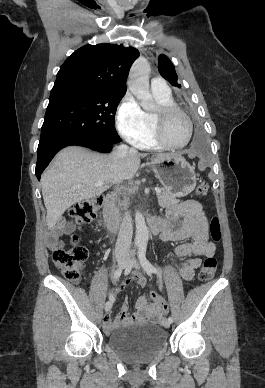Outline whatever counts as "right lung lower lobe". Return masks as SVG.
<instances>
[{
	"instance_id": "obj_1",
	"label": "right lung lower lobe",
	"mask_w": 265,
	"mask_h": 388,
	"mask_svg": "<svg viewBox=\"0 0 265 388\" xmlns=\"http://www.w3.org/2000/svg\"><path fill=\"white\" fill-rule=\"evenodd\" d=\"M70 145L84 146L98 152L106 153L111 151L114 144L99 142L75 132L57 133L40 139L37 149L38 160L35 171L38 180L54 155L62 148Z\"/></svg>"
}]
</instances>
